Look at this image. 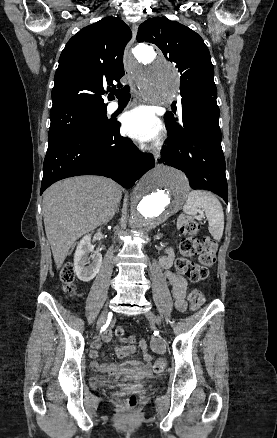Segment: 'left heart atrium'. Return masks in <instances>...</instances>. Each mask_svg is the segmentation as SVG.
Instances as JSON below:
<instances>
[{
    "instance_id": "obj_1",
    "label": "left heart atrium",
    "mask_w": 277,
    "mask_h": 438,
    "mask_svg": "<svg viewBox=\"0 0 277 438\" xmlns=\"http://www.w3.org/2000/svg\"><path fill=\"white\" fill-rule=\"evenodd\" d=\"M123 130L140 142H150L158 138L160 122L148 106L137 107L123 116Z\"/></svg>"
}]
</instances>
